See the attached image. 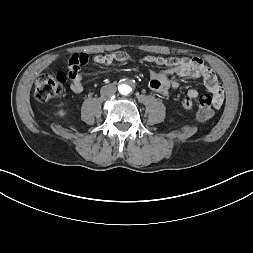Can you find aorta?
Returning a JSON list of instances; mask_svg holds the SVG:
<instances>
[{"label":"aorta","instance_id":"aorta-1","mask_svg":"<svg viewBox=\"0 0 253 253\" xmlns=\"http://www.w3.org/2000/svg\"><path fill=\"white\" fill-rule=\"evenodd\" d=\"M118 89H119V92L123 95H127L132 91V88L126 84L119 85Z\"/></svg>","mask_w":253,"mask_h":253}]
</instances>
